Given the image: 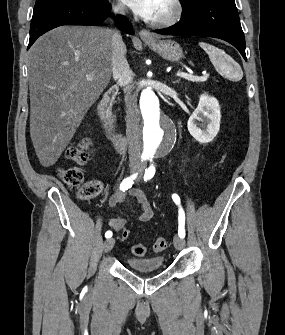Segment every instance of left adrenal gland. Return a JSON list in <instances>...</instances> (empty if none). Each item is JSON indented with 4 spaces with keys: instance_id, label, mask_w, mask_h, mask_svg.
<instances>
[{
    "instance_id": "left-adrenal-gland-1",
    "label": "left adrenal gland",
    "mask_w": 285,
    "mask_h": 335,
    "mask_svg": "<svg viewBox=\"0 0 285 335\" xmlns=\"http://www.w3.org/2000/svg\"><path fill=\"white\" fill-rule=\"evenodd\" d=\"M179 80H175V82H173V84H178Z\"/></svg>"
}]
</instances>
